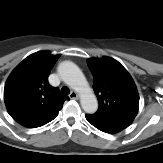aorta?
Listing matches in <instances>:
<instances>
[{"label": "aorta", "instance_id": "762f6f07", "mask_svg": "<svg viewBox=\"0 0 163 163\" xmlns=\"http://www.w3.org/2000/svg\"><path fill=\"white\" fill-rule=\"evenodd\" d=\"M61 79L80 94V102L86 113L97 111L98 102L86 78L79 67L70 61L62 62L58 67Z\"/></svg>", "mask_w": 163, "mask_h": 163}]
</instances>
